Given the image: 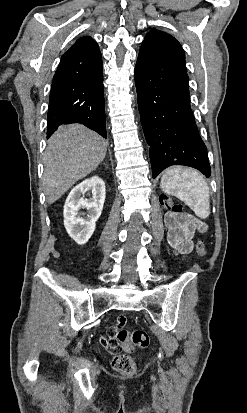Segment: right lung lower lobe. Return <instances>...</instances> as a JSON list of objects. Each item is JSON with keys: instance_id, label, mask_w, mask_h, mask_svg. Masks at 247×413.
I'll return each mask as SVG.
<instances>
[{"instance_id": "1", "label": "right lung lower lobe", "mask_w": 247, "mask_h": 413, "mask_svg": "<svg viewBox=\"0 0 247 413\" xmlns=\"http://www.w3.org/2000/svg\"><path fill=\"white\" fill-rule=\"evenodd\" d=\"M69 123H81L107 138L102 63L57 69L50 92L47 138Z\"/></svg>"}]
</instances>
